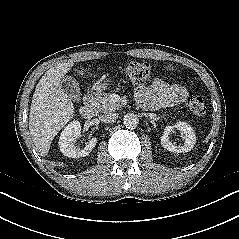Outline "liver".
Here are the masks:
<instances>
[{
	"instance_id": "obj_1",
	"label": "liver",
	"mask_w": 239,
	"mask_h": 239,
	"mask_svg": "<svg viewBox=\"0 0 239 239\" xmlns=\"http://www.w3.org/2000/svg\"><path fill=\"white\" fill-rule=\"evenodd\" d=\"M74 66L59 63L45 72L36 85L29 115V131L36 149L46 156L58 132L74 115V105L61 87V79Z\"/></svg>"
}]
</instances>
